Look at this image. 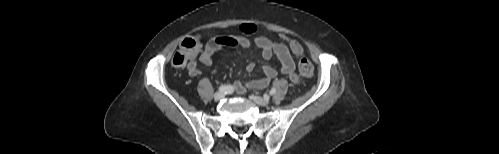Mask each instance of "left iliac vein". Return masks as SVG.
<instances>
[{
	"mask_svg": "<svg viewBox=\"0 0 499 154\" xmlns=\"http://www.w3.org/2000/svg\"><path fill=\"white\" fill-rule=\"evenodd\" d=\"M250 99L260 106H266L269 103L268 97H260L256 95H251Z\"/></svg>",
	"mask_w": 499,
	"mask_h": 154,
	"instance_id": "4c4485c4",
	"label": "left iliac vein"
}]
</instances>
